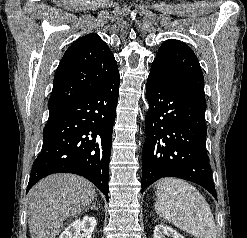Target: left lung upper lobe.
<instances>
[{
  "instance_id": "1",
  "label": "left lung upper lobe",
  "mask_w": 247,
  "mask_h": 238,
  "mask_svg": "<svg viewBox=\"0 0 247 238\" xmlns=\"http://www.w3.org/2000/svg\"><path fill=\"white\" fill-rule=\"evenodd\" d=\"M152 67L159 68L177 83L205 98L204 77L199 61L183 42L166 40L159 48Z\"/></svg>"
}]
</instances>
